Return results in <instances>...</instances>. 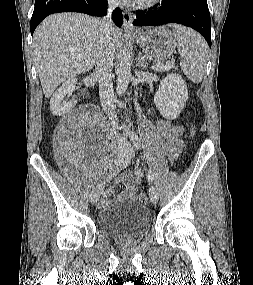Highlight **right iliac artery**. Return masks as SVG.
I'll return each instance as SVG.
<instances>
[{
    "mask_svg": "<svg viewBox=\"0 0 253 285\" xmlns=\"http://www.w3.org/2000/svg\"><path fill=\"white\" fill-rule=\"evenodd\" d=\"M129 163H130V159L127 158L125 161H124V160L122 161V164H121V165L127 166Z\"/></svg>",
    "mask_w": 253,
    "mask_h": 285,
    "instance_id": "right-iliac-artery-1",
    "label": "right iliac artery"
}]
</instances>
